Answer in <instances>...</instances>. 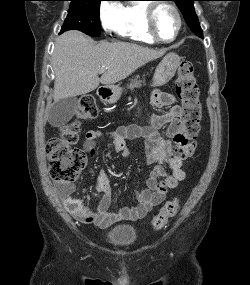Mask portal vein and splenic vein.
<instances>
[{"label":"portal vein and splenic vein","instance_id":"obj_1","mask_svg":"<svg viewBox=\"0 0 250 285\" xmlns=\"http://www.w3.org/2000/svg\"><path fill=\"white\" fill-rule=\"evenodd\" d=\"M107 68H102L99 70V73H103Z\"/></svg>","mask_w":250,"mask_h":285}]
</instances>
